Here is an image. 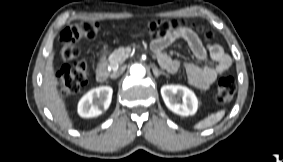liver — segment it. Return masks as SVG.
<instances>
[{"mask_svg": "<svg viewBox=\"0 0 283 162\" xmlns=\"http://www.w3.org/2000/svg\"><path fill=\"white\" fill-rule=\"evenodd\" d=\"M54 55L51 53L46 61L43 73V97L54 119L63 127L70 129L73 124L69 118L64 100L60 97L57 85L58 81L53 69Z\"/></svg>", "mask_w": 283, "mask_h": 162, "instance_id": "1", "label": "liver"}]
</instances>
